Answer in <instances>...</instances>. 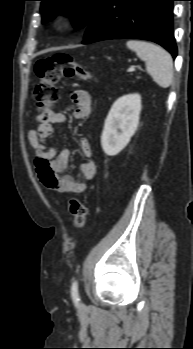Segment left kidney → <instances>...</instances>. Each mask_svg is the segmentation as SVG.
Masks as SVG:
<instances>
[{
  "mask_svg": "<svg viewBox=\"0 0 193 349\" xmlns=\"http://www.w3.org/2000/svg\"><path fill=\"white\" fill-rule=\"evenodd\" d=\"M141 108L139 94L124 95L113 103L101 136V145L106 155H117L130 142L138 127Z\"/></svg>",
  "mask_w": 193,
  "mask_h": 349,
  "instance_id": "left-kidney-1",
  "label": "left kidney"
}]
</instances>
